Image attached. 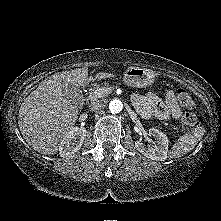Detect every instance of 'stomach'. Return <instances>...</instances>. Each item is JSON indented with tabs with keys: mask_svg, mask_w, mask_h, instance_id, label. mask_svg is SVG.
Returning a JSON list of instances; mask_svg holds the SVG:
<instances>
[{
	"mask_svg": "<svg viewBox=\"0 0 221 221\" xmlns=\"http://www.w3.org/2000/svg\"><path fill=\"white\" fill-rule=\"evenodd\" d=\"M155 73L146 68L130 66L124 73V82L131 87H148L155 81Z\"/></svg>",
	"mask_w": 221,
	"mask_h": 221,
	"instance_id": "0dacf381",
	"label": "stomach"
}]
</instances>
